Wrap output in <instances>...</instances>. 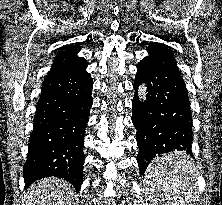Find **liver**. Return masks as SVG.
I'll return each instance as SVG.
<instances>
[{
    "instance_id": "obj_1",
    "label": "liver",
    "mask_w": 222,
    "mask_h": 205,
    "mask_svg": "<svg viewBox=\"0 0 222 205\" xmlns=\"http://www.w3.org/2000/svg\"><path fill=\"white\" fill-rule=\"evenodd\" d=\"M74 189L61 178H46L28 189L26 205H71Z\"/></svg>"
}]
</instances>
